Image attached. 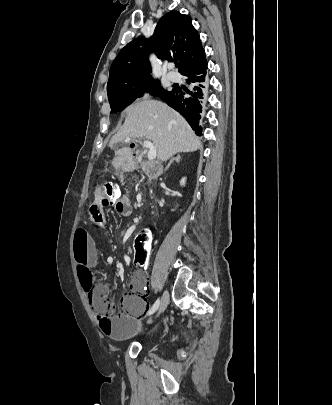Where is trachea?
Returning <instances> with one entry per match:
<instances>
[{"label":"trachea","instance_id":"obj_1","mask_svg":"<svg viewBox=\"0 0 332 405\" xmlns=\"http://www.w3.org/2000/svg\"><path fill=\"white\" fill-rule=\"evenodd\" d=\"M175 66H176V67H179V63H175Z\"/></svg>","mask_w":332,"mask_h":405}]
</instances>
